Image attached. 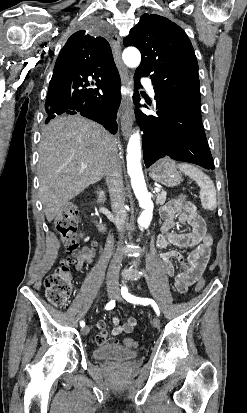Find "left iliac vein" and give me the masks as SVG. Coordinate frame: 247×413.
<instances>
[{
	"instance_id": "1",
	"label": "left iliac vein",
	"mask_w": 247,
	"mask_h": 413,
	"mask_svg": "<svg viewBox=\"0 0 247 413\" xmlns=\"http://www.w3.org/2000/svg\"><path fill=\"white\" fill-rule=\"evenodd\" d=\"M113 297H114L117 301H122V297H121V294H120V292H119L118 289H116V292H115V294H114ZM152 325H153L155 328H159V327H160V319H159V317H154V319H153V321H152Z\"/></svg>"
}]
</instances>
